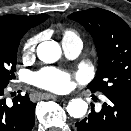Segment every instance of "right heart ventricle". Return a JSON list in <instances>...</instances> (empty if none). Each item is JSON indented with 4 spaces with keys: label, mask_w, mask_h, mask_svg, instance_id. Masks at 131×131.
Segmentation results:
<instances>
[{
    "label": "right heart ventricle",
    "mask_w": 131,
    "mask_h": 131,
    "mask_svg": "<svg viewBox=\"0 0 131 131\" xmlns=\"http://www.w3.org/2000/svg\"><path fill=\"white\" fill-rule=\"evenodd\" d=\"M78 38L77 34L72 30H66L63 34V40Z\"/></svg>",
    "instance_id": "1"
}]
</instances>
